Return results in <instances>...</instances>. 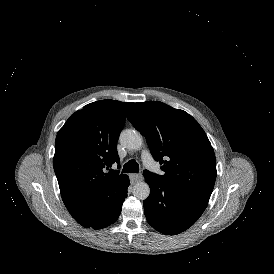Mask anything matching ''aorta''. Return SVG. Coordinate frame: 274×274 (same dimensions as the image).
Listing matches in <instances>:
<instances>
[{
    "label": "aorta",
    "instance_id": "aorta-1",
    "mask_svg": "<svg viewBox=\"0 0 274 274\" xmlns=\"http://www.w3.org/2000/svg\"><path fill=\"white\" fill-rule=\"evenodd\" d=\"M120 143L130 150H138L143 145L142 135L136 130L127 129L120 134ZM133 195L140 200H145L150 195V187L146 182H138L133 187Z\"/></svg>",
    "mask_w": 274,
    "mask_h": 274
}]
</instances>
